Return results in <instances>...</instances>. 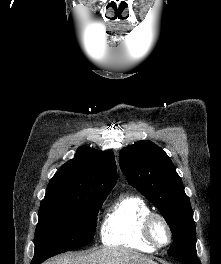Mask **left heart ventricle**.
I'll use <instances>...</instances> for the list:
<instances>
[{
    "mask_svg": "<svg viewBox=\"0 0 221 264\" xmlns=\"http://www.w3.org/2000/svg\"><path fill=\"white\" fill-rule=\"evenodd\" d=\"M154 235L157 241L160 243H165L167 241V231L160 222H156L154 225Z\"/></svg>",
    "mask_w": 221,
    "mask_h": 264,
    "instance_id": "1",
    "label": "left heart ventricle"
}]
</instances>
